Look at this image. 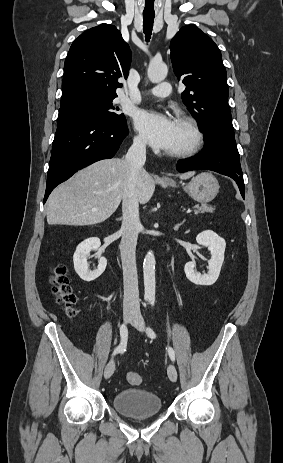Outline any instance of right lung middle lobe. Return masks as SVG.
Masks as SVG:
<instances>
[{"mask_svg": "<svg viewBox=\"0 0 283 463\" xmlns=\"http://www.w3.org/2000/svg\"><path fill=\"white\" fill-rule=\"evenodd\" d=\"M115 97H89L60 107L57 127L80 119H95L106 122H123L124 114H118L112 105Z\"/></svg>", "mask_w": 283, "mask_h": 463, "instance_id": "dd1d6c3e", "label": "right lung middle lobe"}]
</instances>
